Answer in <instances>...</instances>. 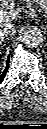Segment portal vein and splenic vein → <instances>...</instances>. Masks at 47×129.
Here are the masks:
<instances>
[{"instance_id":"1","label":"portal vein and splenic vein","mask_w":47,"mask_h":129,"mask_svg":"<svg viewBox=\"0 0 47 129\" xmlns=\"http://www.w3.org/2000/svg\"><path fill=\"white\" fill-rule=\"evenodd\" d=\"M9 15H11V16H13V17H16V16L19 15V11L13 9V10H11L9 13H8V12H5V11H2V12L0 13V17H1L2 19H6V18L11 17V16H9Z\"/></svg>"}]
</instances>
